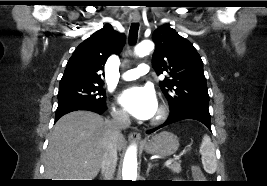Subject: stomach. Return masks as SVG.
Returning <instances> with one entry per match:
<instances>
[{
    "mask_svg": "<svg viewBox=\"0 0 267 186\" xmlns=\"http://www.w3.org/2000/svg\"><path fill=\"white\" fill-rule=\"evenodd\" d=\"M179 147V140L171 132L163 131L153 135L143 143L144 150L153 155L169 156L174 154Z\"/></svg>",
    "mask_w": 267,
    "mask_h": 186,
    "instance_id": "stomach-1",
    "label": "stomach"
}]
</instances>
